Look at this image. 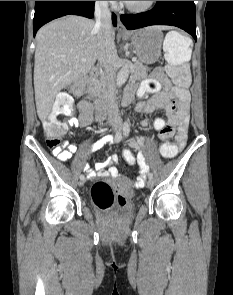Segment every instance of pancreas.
Instances as JSON below:
<instances>
[{"label":"pancreas","instance_id":"1","mask_svg":"<svg viewBox=\"0 0 233 295\" xmlns=\"http://www.w3.org/2000/svg\"><path fill=\"white\" fill-rule=\"evenodd\" d=\"M148 67L141 60H136L134 63V78L143 79L147 77ZM89 92L94 96H103L105 93V74L101 73L91 80Z\"/></svg>","mask_w":233,"mask_h":295}]
</instances>
